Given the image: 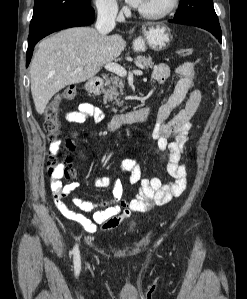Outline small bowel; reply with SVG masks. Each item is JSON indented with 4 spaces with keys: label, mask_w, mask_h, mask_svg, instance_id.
Here are the masks:
<instances>
[{
    "label": "small bowel",
    "mask_w": 247,
    "mask_h": 299,
    "mask_svg": "<svg viewBox=\"0 0 247 299\" xmlns=\"http://www.w3.org/2000/svg\"><path fill=\"white\" fill-rule=\"evenodd\" d=\"M196 66L197 62H185L174 69L180 78L170 96L158 107L156 124L152 132L159 149L169 152L167 172L172 181L164 183L158 177L143 178L136 161L124 159L120 163L119 170L120 173L128 175L131 185H138L134 198L129 201L123 199L124 187L121 180H112L104 176L96 177L94 184L103 189L112 187L111 200L93 202L74 196L72 205L65 203L64 198L75 192L79 188V183L62 185L60 181L52 182L55 205L64 217L78 223L88 233H96L99 230L110 231L117 228L131 213L145 211L154 204H165L184 192L188 169L182 163V158L186 150L191 120L202 103L201 92L195 86ZM170 75L171 69L165 63L157 64L152 73L154 80L161 87L165 85ZM183 103L184 108L170 118ZM103 117L101 109L90 103H81L77 110L66 114V120L75 124H82L89 118L101 121ZM170 137L173 138L172 141H169ZM75 208L92 213V217L77 212Z\"/></svg>",
    "instance_id": "obj_1"
}]
</instances>
